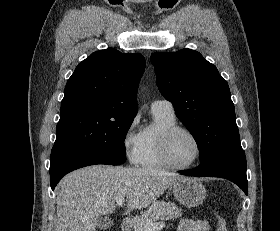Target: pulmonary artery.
<instances>
[{
	"label": "pulmonary artery",
	"instance_id": "pulmonary-artery-1",
	"mask_svg": "<svg viewBox=\"0 0 280 231\" xmlns=\"http://www.w3.org/2000/svg\"><path fill=\"white\" fill-rule=\"evenodd\" d=\"M153 113H162L167 115H175L173 104L168 100H155L151 104Z\"/></svg>",
	"mask_w": 280,
	"mask_h": 231
}]
</instances>
